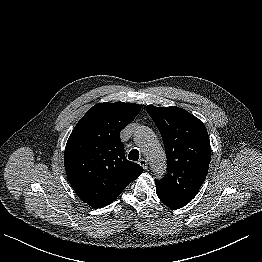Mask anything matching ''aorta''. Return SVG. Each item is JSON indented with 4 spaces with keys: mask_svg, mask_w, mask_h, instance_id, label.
<instances>
[{
    "mask_svg": "<svg viewBox=\"0 0 262 262\" xmlns=\"http://www.w3.org/2000/svg\"><path fill=\"white\" fill-rule=\"evenodd\" d=\"M134 140L149 161L152 171L157 177L166 172V155L155 133L146 126L137 128Z\"/></svg>",
    "mask_w": 262,
    "mask_h": 262,
    "instance_id": "aorta-1",
    "label": "aorta"
}]
</instances>
